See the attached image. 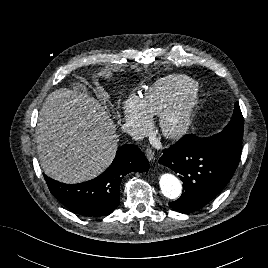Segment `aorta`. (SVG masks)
I'll return each mask as SVG.
<instances>
[{
    "label": "aorta",
    "mask_w": 268,
    "mask_h": 268,
    "mask_svg": "<svg viewBox=\"0 0 268 268\" xmlns=\"http://www.w3.org/2000/svg\"><path fill=\"white\" fill-rule=\"evenodd\" d=\"M159 185L162 194L168 199H176L181 195L182 185L173 174L164 173L160 176Z\"/></svg>",
    "instance_id": "762f6f07"
}]
</instances>
